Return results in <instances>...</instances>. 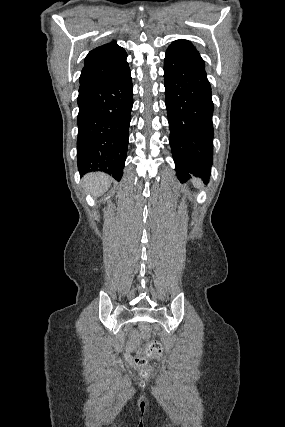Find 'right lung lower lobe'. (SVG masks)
<instances>
[{"label": "right lung lower lobe", "mask_w": 285, "mask_h": 427, "mask_svg": "<svg viewBox=\"0 0 285 427\" xmlns=\"http://www.w3.org/2000/svg\"><path fill=\"white\" fill-rule=\"evenodd\" d=\"M130 71L79 89L77 163L81 175L103 171L120 180L133 106Z\"/></svg>", "instance_id": "1"}]
</instances>
